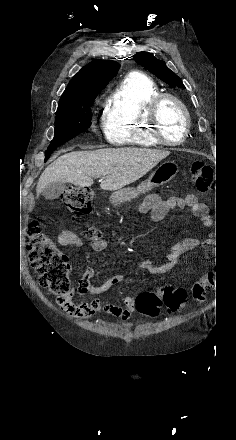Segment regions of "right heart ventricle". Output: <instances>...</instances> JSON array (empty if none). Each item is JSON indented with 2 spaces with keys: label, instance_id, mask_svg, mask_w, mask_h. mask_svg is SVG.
Returning <instances> with one entry per match:
<instances>
[{
  "label": "right heart ventricle",
  "instance_id": "e07e8e85",
  "mask_svg": "<svg viewBox=\"0 0 236 440\" xmlns=\"http://www.w3.org/2000/svg\"><path fill=\"white\" fill-rule=\"evenodd\" d=\"M161 93L156 82L142 73L124 77L107 101L104 114L106 139L113 145L156 147L146 112L151 100Z\"/></svg>",
  "mask_w": 236,
  "mask_h": 440
}]
</instances>
